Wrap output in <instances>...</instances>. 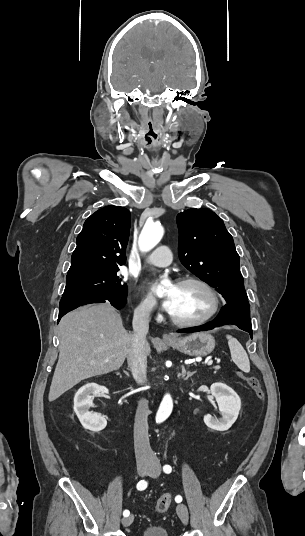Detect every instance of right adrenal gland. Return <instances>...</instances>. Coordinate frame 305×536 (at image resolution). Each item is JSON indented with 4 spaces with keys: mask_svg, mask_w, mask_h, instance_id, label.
I'll list each match as a JSON object with an SVG mask.
<instances>
[{
    "mask_svg": "<svg viewBox=\"0 0 305 536\" xmlns=\"http://www.w3.org/2000/svg\"><path fill=\"white\" fill-rule=\"evenodd\" d=\"M126 376H129L128 372H125Z\"/></svg>",
    "mask_w": 305,
    "mask_h": 536,
    "instance_id": "obj_1",
    "label": "right adrenal gland"
}]
</instances>
